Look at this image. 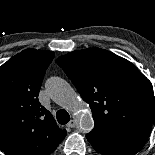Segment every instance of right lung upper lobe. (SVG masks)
<instances>
[{"label": "right lung upper lobe", "instance_id": "cb5924a9", "mask_svg": "<svg viewBox=\"0 0 155 155\" xmlns=\"http://www.w3.org/2000/svg\"><path fill=\"white\" fill-rule=\"evenodd\" d=\"M54 56L26 49L0 66V148L7 155H49L66 135L38 101Z\"/></svg>", "mask_w": 155, "mask_h": 155}]
</instances>
